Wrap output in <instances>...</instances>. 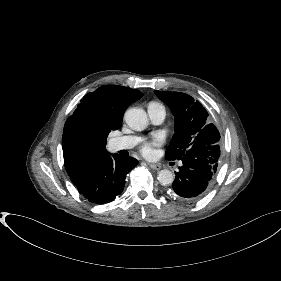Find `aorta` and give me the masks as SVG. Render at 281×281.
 I'll return each mask as SVG.
<instances>
[{"label":"aorta","mask_w":281,"mask_h":281,"mask_svg":"<svg viewBox=\"0 0 281 281\" xmlns=\"http://www.w3.org/2000/svg\"><path fill=\"white\" fill-rule=\"evenodd\" d=\"M124 120L127 125L137 131L144 130L148 125V116L141 108H130L125 112ZM163 186L170 185L174 181V175L169 170H161L157 177Z\"/></svg>","instance_id":"1"}]
</instances>
